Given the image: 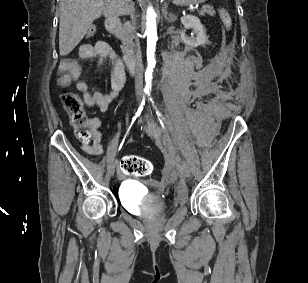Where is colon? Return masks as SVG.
Segmentation results:
<instances>
[{
    "label": "colon",
    "instance_id": "colon-1",
    "mask_svg": "<svg viewBox=\"0 0 308 283\" xmlns=\"http://www.w3.org/2000/svg\"><path fill=\"white\" fill-rule=\"evenodd\" d=\"M219 15L226 29H230L232 19L229 12L225 8H221ZM95 31V27H90L87 31V36H93ZM60 99L65 111L69 114L76 138L81 141L91 140L94 130L87 118L81 98L74 92H64L61 94ZM121 169L130 176H147L152 172L153 165L143 157L128 155L122 159Z\"/></svg>",
    "mask_w": 308,
    "mask_h": 283
}]
</instances>
